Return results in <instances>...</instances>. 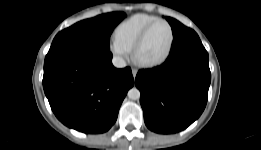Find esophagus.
Returning a JSON list of instances; mask_svg holds the SVG:
<instances>
[{
	"label": "esophagus",
	"instance_id": "esophagus-1",
	"mask_svg": "<svg viewBox=\"0 0 261 150\" xmlns=\"http://www.w3.org/2000/svg\"><path fill=\"white\" fill-rule=\"evenodd\" d=\"M137 73H138V70L133 68L132 69V75H133L134 78L136 77Z\"/></svg>",
	"mask_w": 261,
	"mask_h": 150
}]
</instances>
